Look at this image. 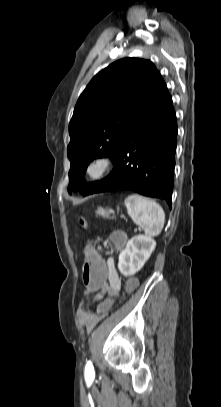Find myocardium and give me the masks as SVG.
<instances>
[{"instance_id": "f54148a6", "label": "myocardium", "mask_w": 221, "mask_h": 407, "mask_svg": "<svg viewBox=\"0 0 221 407\" xmlns=\"http://www.w3.org/2000/svg\"><path fill=\"white\" fill-rule=\"evenodd\" d=\"M116 159L110 154H99L88 160L84 167V176L92 182L107 177L115 168Z\"/></svg>"}]
</instances>
